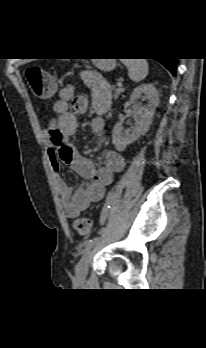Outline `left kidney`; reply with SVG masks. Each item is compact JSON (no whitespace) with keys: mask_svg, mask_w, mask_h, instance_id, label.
<instances>
[{"mask_svg":"<svg viewBox=\"0 0 206 348\" xmlns=\"http://www.w3.org/2000/svg\"><path fill=\"white\" fill-rule=\"evenodd\" d=\"M141 97L143 101H147L146 105L138 104ZM130 102L134 105L135 126L131 132H128L124 131L123 122H118L112 132V142L119 152L124 151L127 145L136 141L149 130L156 107L159 104L158 91L152 84H142L133 90Z\"/></svg>","mask_w":206,"mask_h":348,"instance_id":"left-kidney-1","label":"left kidney"}]
</instances>
